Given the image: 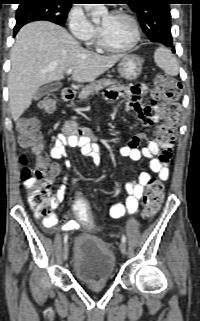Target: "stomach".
<instances>
[{
	"label": "stomach",
	"instance_id": "0dacf381",
	"mask_svg": "<svg viewBox=\"0 0 200 321\" xmlns=\"http://www.w3.org/2000/svg\"><path fill=\"white\" fill-rule=\"evenodd\" d=\"M143 60L134 54L124 55L118 63V72L127 80L136 79L142 71Z\"/></svg>",
	"mask_w": 200,
	"mask_h": 321
}]
</instances>
